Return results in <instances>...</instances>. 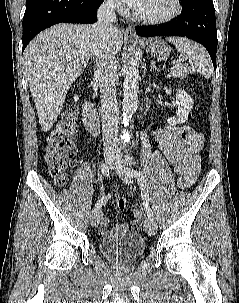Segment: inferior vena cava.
<instances>
[{
    "label": "inferior vena cava",
    "mask_w": 239,
    "mask_h": 303,
    "mask_svg": "<svg viewBox=\"0 0 239 303\" xmlns=\"http://www.w3.org/2000/svg\"><path fill=\"white\" fill-rule=\"evenodd\" d=\"M115 3L105 0L97 11L98 22L94 24L97 46L93 52L95 62L94 76L100 83L101 116L103 143L105 151L116 150L118 142V103L116 99L115 52L111 49L110 39L115 31Z\"/></svg>",
    "instance_id": "inferior-vena-cava-1"
}]
</instances>
